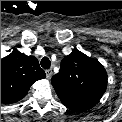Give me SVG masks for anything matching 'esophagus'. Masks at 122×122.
Instances as JSON below:
<instances>
[{"label":"esophagus","instance_id":"obj_1","mask_svg":"<svg viewBox=\"0 0 122 122\" xmlns=\"http://www.w3.org/2000/svg\"><path fill=\"white\" fill-rule=\"evenodd\" d=\"M51 76H52V71L51 70H47L46 71V77H47V79H50Z\"/></svg>","mask_w":122,"mask_h":122}]
</instances>
